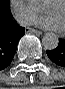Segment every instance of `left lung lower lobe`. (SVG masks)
<instances>
[{
  "mask_svg": "<svg viewBox=\"0 0 65 89\" xmlns=\"http://www.w3.org/2000/svg\"><path fill=\"white\" fill-rule=\"evenodd\" d=\"M47 55L52 62L65 67V38L59 40L57 48L47 51Z\"/></svg>",
  "mask_w": 65,
  "mask_h": 89,
  "instance_id": "left-lung-lower-lobe-1",
  "label": "left lung lower lobe"
}]
</instances>
